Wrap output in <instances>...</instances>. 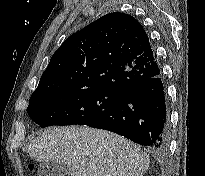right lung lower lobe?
Returning <instances> with one entry per match:
<instances>
[{"mask_svg":"<svg viewBox=\"0 0 205 176\" xmlns=\"http://www.w3.org/2000/svg\"><path fill=\"white\" fill-rule=\"evenodd\" d=\"M87 126L122 135L156 152L169 145V121L161 74L139 81Z\"/></svg>","mask_w":205,"mask_h":176,"instance_id":"98d812e1","label":"right lung lower lobe"}]
</instances>
